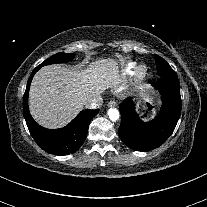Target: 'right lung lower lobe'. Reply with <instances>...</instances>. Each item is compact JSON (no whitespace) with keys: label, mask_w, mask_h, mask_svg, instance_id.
<instances>
[{"label":"right lung lower lobe","mask_w":207,"mask_h":207,"mask_svg":"<svg viewBox=\"0 0 207 207\" xmlns=\"http://www.w3.org/2000/svg\"><path fill=\"white\" fill-rule=\"evenodd\" d=\"M41 67H36L27 83L23 98V114L35 142L45 151L53 154H70L76 152L86 139L91 119L99 110H83L67 126L51 130L41 127L31 117L28 110V93L34 74Z\"/></svg>","instance_id":"1"}]
</instances>
